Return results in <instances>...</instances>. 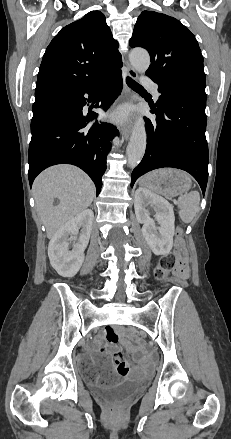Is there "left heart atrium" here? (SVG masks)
Wrapping results in <instances>:
<instances>
[{
	"label": "left heart atrium",
	"mask_w": 231,
	"mask_h": 439,
	"mask_svg": "<svg viewBox=\"0 0 231 439\" xmlns=\"http://www.w3.org/2000/svg\"><path fill=\"white\" fill-rule=\"evenodd\" d=\"M116 118H119V119H121L122 117H123V114L122 113H117L116 115H114Z\"/></svg>",
	"instance_id": "left-heart-atrium-1"
}]
</instances>
